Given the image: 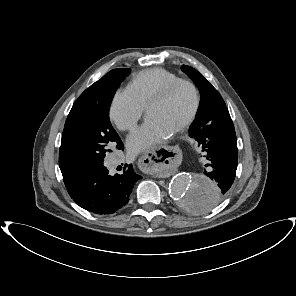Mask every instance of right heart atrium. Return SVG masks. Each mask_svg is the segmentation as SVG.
I'll use <instances>...</instances> for the list:
<instances>
[{
  "label": "right heart atrium",
  "mask_w": 296,
  "mask_h": 296,
  "mask_svg": "<svg viewBox=\"0 0 296 296\" xmlns=\"http://www.w3.org/2000/svg\"><path fill=\"white\" fill-rule=\"evenodd\" d=\"M144 113V107L126 90L117 91L111 101L109 117L121 131H132Z\"/></svg>",
  "instance_id": "right-heart-atrium-1"
}]
</instances>
